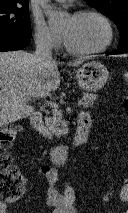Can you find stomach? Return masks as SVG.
<instances>
[{"instance_id": "1", "label": "stomach", "mask_w": 128, "mask_h": 213, "mask_svg": "<svg viewBox=\"0 0 128 213\" xmlns=\"http://www.w3.org/2000/svg\"><path fill=\"white\" fill-rule=\"evenodd\" d=\"M107 67L100 62L92 61L84 63L77 71L78 85L86 91H97L108 81Z\"/></svg>"}]
</instances>
